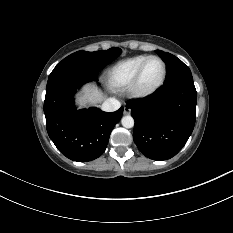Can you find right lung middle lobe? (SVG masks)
Listing matches in <instances>:
<instances>
[{
    "instance_id": "1",
    "label": "right lung middle lobe",
    "mask_w": 233,
    "mask_h": 233,
    "mask_svg": "<svg viewBox=\"0 0 233 233\" xmlns=\"http://www.w3.org/2000/svg\"><path fill=\"white\" fill-rule=\"evenodd\" d=\"M121 54L120 48H110L95 52L77 51L64 58L51 72L50 76L61 73L99 72Z\"/></svg>"
}]
</instances>
